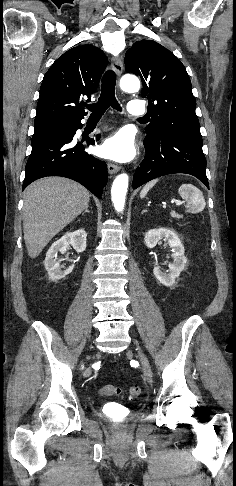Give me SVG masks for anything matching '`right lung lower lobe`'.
<instances>
[{"label":"right lung lower lobe","mask_w":236,"mask_h":486,"mask_svg":"<svg viewBox=\"0 0 236 486\" xmlns=\"http://www.w3.org/2000/svg\"><path fill=\"white\" fill-rule=\"evenodd\" d=\"M82 119L58 120L50 123L44 130L34 132L23 190L39 178L62 176L79 182L101 198L107 181L106 163L89 155L84 151L86 146L73 139L76 130L82 128ZM99 138L100 135H97L96 140ZM94 143L92 140V144Z\"/></svg>","instance_id":"right-lung-lower-lobe-1"}]
</instances>
